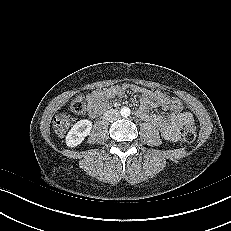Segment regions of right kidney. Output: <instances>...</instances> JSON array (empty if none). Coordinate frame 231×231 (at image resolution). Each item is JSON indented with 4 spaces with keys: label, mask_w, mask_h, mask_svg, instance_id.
<instances>
[{
    "label": "right kidney",
    "mask_w": 231,
    "mask_h": 231,
    "mask_svg": "<svg viewBox=\"0 0 231 231\" xmlns=\"http://www.w3.org/2000/svg\"><path fill=\"white\" fill-rule=\"evenodd\" d=\"M92 129V122L83 119L73 125L66 136V144L68 147H76L82 143Z\"/></svg>",
    "instance_id": "ca27d5eb"
}]
</instances>
